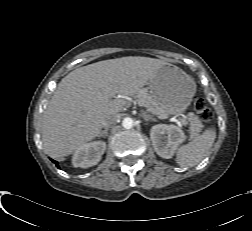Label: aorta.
I'll return each instance as SVG.
<instances>
[{
    "mask_svg": "<svg viewBox=\"0 0 252 231\" xmlns=\"http://www.w3.org/2000/svg\"><path fill=\"white\" fill-rule=\"evenodd\" d=\"M133 125H134V122H133V120H132L131 118H129V117L124 118L123 121H122V126H123L125 129H130V128L133 127Z\"/></svg>",
    "mask_w": 252,
    "mask_h": 231,
    "instance_id": "aorta-1",
    "label": "aorta"
}]
</instances>
